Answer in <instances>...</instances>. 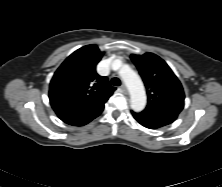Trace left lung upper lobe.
<instances>
[{
	"instance_id": "left-lung-upper-lobe-1",
	"label": "left lung upper lobe",
	"mask_w": 222,
	"mask_h": 187,
	"mask_svg": "<svg viewBox=\"0 0 222 187\" xmlns=\"http://www.w3.org/2000/svg\"><path fill=\"white\" fill-rule=\"evenodd\" d=\"M147 89L146 109L180 112L184 107V91L178 78L159 56L153 53L131 55Z\"/></svg>"
}]
</instances>
